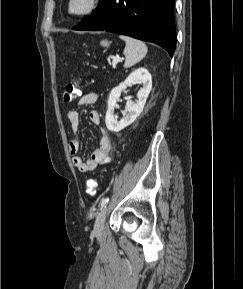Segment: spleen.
Wrapping results in <instances>:
<instances>
[{
	"label": "spleen",
	"mask_w": 243,
	"mask_h": 289,
	"mask_svg": "<svg viewBox=\"0 0 243 289\" xmlns=\"http://www.w3.org/2000/svg\"><path fill=\"white\" fill-rule=\"evenodd\" d=\"M120 39L124 40L126 43L123 52L125 55L124 68L134 66L147 54V46L142 41L123 35L120 36Z\"/></svg>",
	"instance_id": "1"
}]
</instances>
